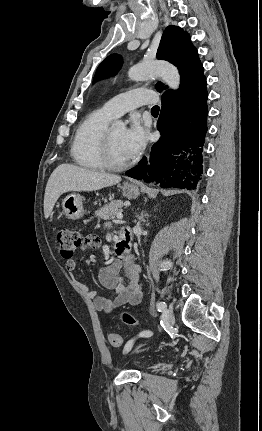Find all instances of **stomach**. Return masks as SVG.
<instances>
[{
	"label": "stomach",
	"instance_id": "stomach-1",
	"mask_svg": "<svg viewBox=\"0 0 262 431\" xmlns=\"http://www.w3.org/2000/svg\"><path fill=\"white\" fill-rule=\"evenodd\" d=\"M123 195L128 199H135L139 196V188L134 184L126 183L122 187ZM83 196L77 193L67 195L62 201L63 212L67 218L76 220L84 215Z\"/></svg>",
	"mask_w": 262,
	"mask_h": 431
}]
</instances>
